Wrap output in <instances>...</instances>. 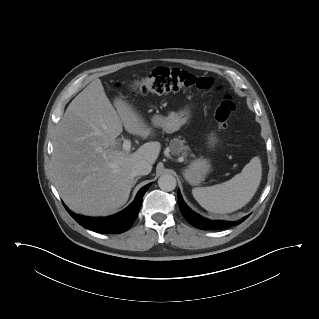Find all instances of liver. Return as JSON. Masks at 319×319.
<instances>
[{
	"mask_svg": "<svg viewBox=\"0 0 319 319\" xmlns=\"http://www.w3.org/2000/svg\"><path fill=\"white\" fill-rule=\"evenodd\" d=\"M109 101L100 79L93 80L69 104L59 121L54 142L52 171L55 186L74 212L107 216L123 206L135 175L131 165L139 160L154 164L161 144L147 142L129 154L117 147L125 130L147 138L152 129L130 104Z\"/></svg>",
	"mask_w": 319,
	"mask_h": 319,
	"instance_id": "1",
	"label": "liver"
}]
</instances>
